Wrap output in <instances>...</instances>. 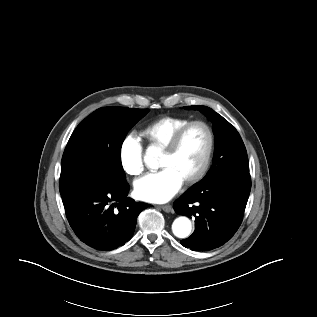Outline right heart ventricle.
Listing matches in <instances>:
<instances>
[{"label":"right heart ventricle","mask_w":317,"mask_h":317,"mask_svg":"<svg viewBox=\"0 0 317 317\" xmlns=\"http://www.w3.org/2000/svg\"><path fill=\"white\" fill-rule=\"evenodd\" d=\"M188 122L189 119L183 117H161L146 125L140 131V135L149 147L163 150L173 135Z\"/></svg>","instance_id":"1"}]
</instances>
